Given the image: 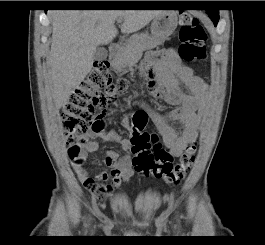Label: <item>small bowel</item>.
Instances as JSON below:
<instances>
[{"label":"small bowel","instance_id":"c3829d8e","mask_svg":"<svg viewBox=\"0 0 265 245\" xmlns=\"http://www.w3.org/2000/svg\"><path fill=\"white\" fill-rule=\"evenodd\" d=\"M142 66L154 73V80L147 84L151 96L176 106V109L167 115L149 106H145L143 111L163 137L169 151L173 156L179 157L187 145L195 142L198 136L201 127L198 113L205 106L209 86L202 78L194 74L190 66L182 62L173 48L148 51L142 61ZM181 87H184L186 91L183 92ZM122 123L132 132L128 117H125ZM96 136L104 140L119 142L126 151H131V139H123L119 134L103 128L100 132H92L85 139L83 143L85 155L98 149V143L94 140ZM104 164L110 167L111 171L101 172L96 178L91 177L83 166H74L78 180L94 196H110L114 189L133 175L129 153L121 155L118 151L110 149L106 152ZM107 181H110V184L100 185L99 183Z\"/></svg>","mask_w":265,"mask_h":245}]
</instances>
